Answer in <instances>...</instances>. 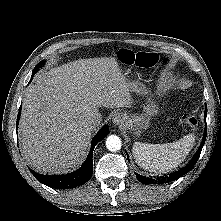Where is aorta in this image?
<instances>
[{
    "mask_svg": "<svg viewBox=\"0 0 221 221\" xmlns=\"http://www.w3.org/2000/svg\"><path fill=\"white\" fill-rule=\"evenodd\" d=\"M121 139L116 135H110L106 139V147L109 151L115 152L121 149Z\"/></svg>",
    "mask_w": 221,
    "mask_h": 221,
    "instance_id": "762f6f07",
    "label": "aorta"
}]
</instances>
